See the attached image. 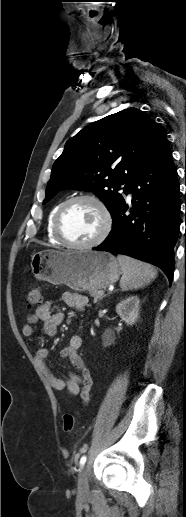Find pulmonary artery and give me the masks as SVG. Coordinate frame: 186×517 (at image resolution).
Wrapping results in <instances>:
<instances>
[{"label": "pulmonary artery", "mask_w": 186, "mask_h": 517, "mask_svg": "<svg viewBox=\"0 0 186 517\" xmlns=\"http://www.w3.org/2000/svg\"><path fill=\"white\" fill-rule=\"evenodd\" d=\"M128 199L129 200L132 199V193L131 192L128 194Z\"/></svg>", "instance_id": "obj_1"}]
</instances>
